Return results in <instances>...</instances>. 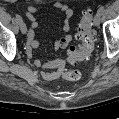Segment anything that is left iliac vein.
<instances>
[{
  "instance_id": "left-iliac-vein-1",
  "label": "left iliac vein",
  "mask_w": 119,
  "mask_h": 119,
  "mask_svg": "<svg viewBox=\"0 0 119 119\" xmlns=\"http://www.w3.org/2000/svg\"><path fill=\"white\" fill-rule=\"evenodd\" d=\"M101 13L97 12L94 16V24L96 26H98L100 24V21H101Z\"/></svg>"
}]
</instances>
